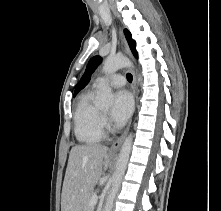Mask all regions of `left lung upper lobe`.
I'll return each mask as SVG.
<instances>
[{
	"mask_svg": "<svg viewBox=\"0 0 221 211\" xmlns=\"http://www.w3.org/2000/svg\"><path fill=\"white\" fill-rule=\"evenodd\" d=\"M124 33H125L128 43H129V46L131 48V51L133 52L134 56L137 57V52L135 50L136 44H135V41L132 40V38H131V33L127 29L124 30ZM100 62H101V57H99V56H94L93 58L90 59V61L88 62L87 68L85 70V73L82 76L77 88L75 89L74 97L90 81L91 74L94 72L96 67L100 64Z\"/></svg>",
	"mask_w": 221,
	"mask_h": 211,
	"instance_id": "5c2ea615",
	"label": "left lung upper lobe"
}]
</instances>
